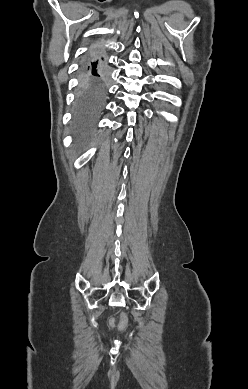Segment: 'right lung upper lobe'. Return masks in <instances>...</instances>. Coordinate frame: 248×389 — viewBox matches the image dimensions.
<instances>
[{
    "label": "right lung upper lobe",
    "mask_w": 248,
    "mask_h": 389,
    "mask_svg": "<svg viewBox=\"0 0 248 389\" xmlns=\"http://www.w3.org/2000/svg\"><path fill=\"white\" fill-rule=\"evenodd\" d=\"M90 59L98 60L99 62L104 63V62L102 61L103 58L98 54L97 51L93 53V55H92V57H90Z\"/></svg>",
    "instance_id": "1"
}]
</instances>
